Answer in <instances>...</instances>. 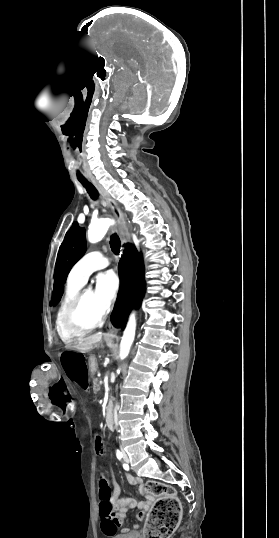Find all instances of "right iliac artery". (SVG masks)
Wrapping results in <instances>:
<instances>
[{"instance_id": "right-iliac-artery-1", "label": "right iliac artery", "mask_w": 279, "mask_h": 538, "mask_svg": "<svg viewBox=\"0 0 279 538\" xmlns=\"http://www.w3.org/2000/svg\"><path fill=\"white\" fill-rule=\"evenodd\" d=\"M116 456H117V458H118L119 460H122V458H123V454H122V452L119 451V450H117V452H116ZM123 467H124L125 470H129V466H128L127 464H123Z\"/></svg>"}]
</instances>
